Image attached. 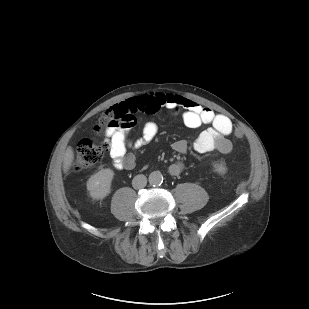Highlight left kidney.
Instances as JSON below:
<instances>
[{
    "instance_id": "left-kidney-1",
    "label": "left kidney",
    "mask_w": 309,
    "mask_h": 309,
    "mask_svg": "<svg viewBox=\"0 0 309 309\" xmlns=\"http://www.w3.org/2000/svg\"><path fill=\"white\" fill-rule=\"evenodd\" d=\"M215 171L219 174H225L227 171V168L224 164L220 163V164H215Z\"/></svg>"
}]
</instances>
